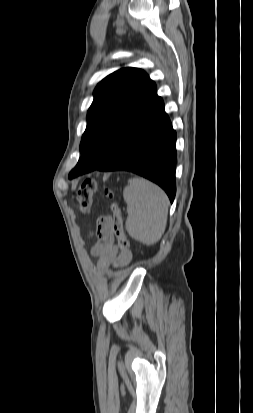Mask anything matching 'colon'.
<instances>
[{"label": "colon", "instance_id": "obj_1", "mask_svg": "<svg viewBox=\"0 0 253 413\" xmlns=\"http://www.w3.org/2000/svg\"><path fill=\"white\" fill-rule=\"evenodd\" d=\"M97 190V182L95 179L89 178L82 182L81 186L79 187L76 195V200L79 206V209L83 213L89 212L92 204H93V196L95 191ZM105 194L109 198H113V193L109 189H105ZM112 216H111V223H112V231L117 239V245L121 250H128L130 247V240L127 237L124 231V220L122 217V213L120 207L117 203H113L111 206Z\"/></svg>", "mask_w": 253, "mask_h": 413}]
</instances>
